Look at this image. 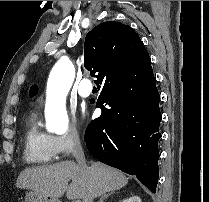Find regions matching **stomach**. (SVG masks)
<instances>
[{
	"label": "stomach",
	"instance_id": "0dacf381",
	"mask_svg": "<svg viewBox=\"0 0 209 202\" xmlns=\"http://www.w3.org/2000/svg\"><path fill=\"white\" fill-rule=\"evenodd\" d=\"M25 202H60L57 198L49 197L43 193L31 190L26 193Z\"/></svg>",
	"mask_w": 209,
	"mask_h": 202
}]
</instances>
